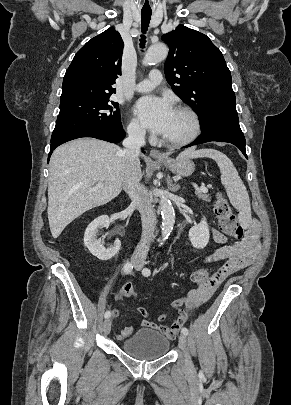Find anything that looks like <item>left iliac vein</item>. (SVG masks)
Here are the masks:
<instances>
[{
	"mask_svg": "<svg viewBox=\"0 0 291 405\" xmlns=\"http://www.w3.org/2000/svg\"><path fill=\"white\" fill-rule=\"evenodd\" d=\"M136 269L139 270L140 266H137ZM179 346L185 354L186 367L191 370L193 368V363H192V360H191V357H190V354L188 351L186 335L181 334L179 336Z\"/></svg>",
	"mask_w": 291,
	"mask_h": 405,
	"instance_id": "obj_1",
	"label": "left iliac vein"
}]
</instances>
